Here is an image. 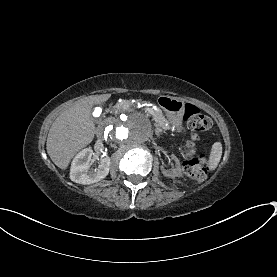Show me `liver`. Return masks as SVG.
Masks as SVG:
<instances>
[{
    "mask_svg": "<svg viewBox=\"0 0 277 277\" xmlns=\"http://www.w3.org/2000/svg\"><path fill=\"white\" fill-rule=\"evenodd\" d=\"M111 96V93L88 96L55 119L47 135L46 150L59 169L67 170L74 156L93 142L97 129L92 107L107 102Z\"/></svg>",
    "mask_w": 277,
    "mask_h": 277,
    "instance_id": "6515ba94",
    "label": "liver"
}]
</instances>
